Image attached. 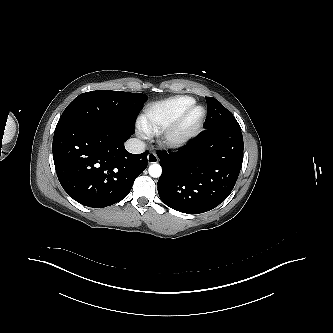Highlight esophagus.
<instances>
[{
	"label": "esophagus",
	"instance_id": "esophagus-1",
	"mask_svg": "<svg viewBox=\"0 0 333 333\" xmlns=\"http://www.w3.org/2000/svg\"><path fill=\"white\" fill-rule=\"evenodd\" d=\"M147 160H148L149 164H154V163L158 162V157H157V155L154 152H150L147 155Z\"/></svg>",
	"mask_w": 333,
	"mask_h": 333
}]
</instances>
